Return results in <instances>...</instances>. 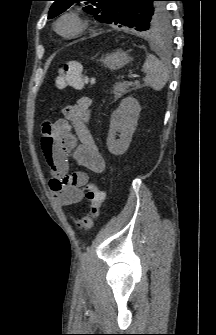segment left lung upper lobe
I'll return each mask as SVG.
<instances>
[{"instance_id":"left-lung-upper-lobe-1","label":"left lung upper lobe","mask_w":216,"mask_h":335,"mask_svg":"<svg viewBox=\"0 0 216 335\" xmlns=\"http://www.w3.org/2000/svg\"><path fill=\"white\" fill-rule=\"evenodd\" d=\"M48 19L66 11L78 1H87L83 9L100 22L113 23L148 33H165L170 30V16L164 1L167 0H53Z\"/></svg>"}]
</instances>
